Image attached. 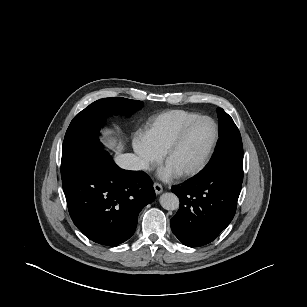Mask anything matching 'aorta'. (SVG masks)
<instances>
[{
	"label": "aorta",
	"instance_id": "obj_1",
	"mask_svg": "<svg viewBox=\"0 0 307 307\" xmlns=\"http://www.w3.org/2000/svg\"><path fill=\"white\" fill-rule=\"evenodd\" d=\"M159 202L166 210H176L179 208V199L174 193H163Z\"/></svg>",
	"mask_w": 307,
	"mask_h": 307
}]
</instances>
